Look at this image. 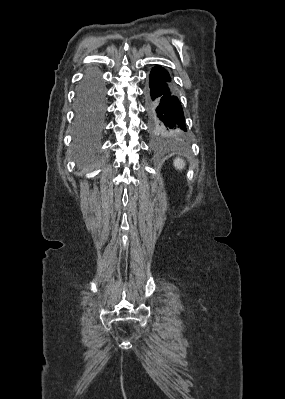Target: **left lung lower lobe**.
<instances>
[{
    "instance_id": "0a47b994",
    "label": "left lung lower lobe",
    "mask_w": 285,
    "mask_h": 399,
    "mask_svg": "<svg viewBox=\"0 0 285 399\" xmlns=\"http://www.w3.org/2000/svg\"><path fill=\"white\" fill-rule=\"evenodd\" d=\"M170 81L166 69L161 66L152 69L146 93L148 115L156 137L183 140L187 131L183 110Z\"/></svg>"
}]
</instances>
